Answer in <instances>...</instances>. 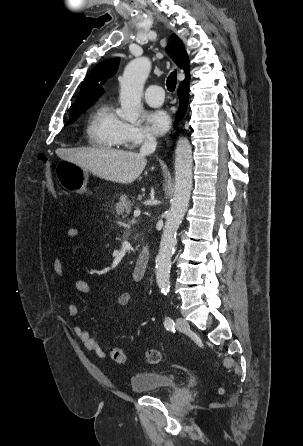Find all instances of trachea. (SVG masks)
Masks as SVG:
<instances>
[{
	"label": "trachea",
	"mask_w": 303,
	"mask_h": 446,
	"mask_svg": "<svg viewBox=\"0 0 303 446\" xmlns=\"http://www.w3.org/2000/svg\"><path fill=\"white\" fill-rule=\"evenodd\" d=\"M176 83H177V73H176V71H174L167 78V81H166L167 89L170 92H174V90L176 88Z\"/></svg>",
	"instance_id": "trachea-1"
}]
</instances>
